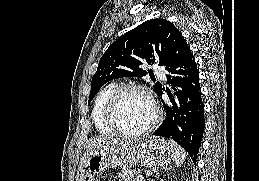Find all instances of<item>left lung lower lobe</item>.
Returning a JSON list of instances; mask_svg holds the SVG:
<instances>
[{
  "mask_svg": "<svg viewBox=\"0 0 259 181\" xmlns=\"http://www.w3.org/2000/svg\"><path fill=\"white\" fill-rule=\"evenodd\" d=\"M167 81L176 99L170 96L165 104L166 118L154 135L171 138L181 145L196 163L205 128L204 104L201 98L199 71L191 50L183 36L175 39L167 59ZM164 87L158 92L160 95Z\"/></svg>",
  "mask_w": 259,
  "mask_h": 181,
  "instance_id": "1",
  "label": "left lung lower lobe"
}]
</instances>
